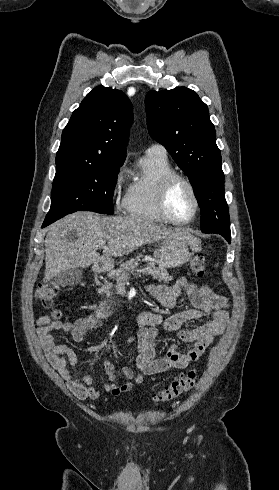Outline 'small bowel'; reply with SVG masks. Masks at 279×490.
I'll return each instance as SVG.
<instances>
[{
	"instance_id": "1",
	"label": "small bowel",
	"mask_w": 279,
	"mask_h": 490,
	"mask_svg": "<svg viewBox=\"0 0 279 490\" xmlns=\"http://www.w3.org/2000/svg\"><path fill=\"white\" fill-rule=\"evenodd\" d=\"M186 293L193 308L180 311L168 318L161 314L143 311L137 316L140 331L128 342H137L140 353L137 366L141 372L134 376L130 367H122L121 374L127 379L141 383L144 375L154 374L166 369H183L191 362L198 360L213 340L222 335L229 323L228 301L225 297L214 293L207 286H197L186 278H180L171 286L156 285L149 287L150 295L164 308L172 309L182 293ZM211 317V320L190 329L180 327L193 320ZM102 318L91 314L74 322H60L48 315L37 320L36 336L38 343L47 360L60 376L67 382L69 390L80 399H97L105 393L120 395L131 389V383L116 384L117 373L109 361L103 362L108 382L101 387H95L93 378L88 375L73 373L69 367H75L78 358L75 351L65 344H56L52 333L62 331L69 334L76 343H82L89 332L96 330ZM158 327L167 331H178V337L190 344L185 352H179L175 347L168 350L165 358L156 357L155 339Z\"/></svg>"
}]
</instances>
